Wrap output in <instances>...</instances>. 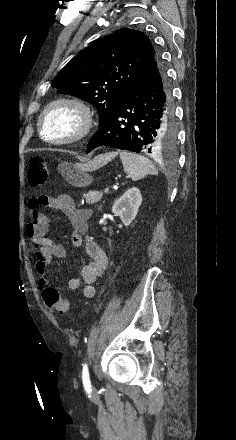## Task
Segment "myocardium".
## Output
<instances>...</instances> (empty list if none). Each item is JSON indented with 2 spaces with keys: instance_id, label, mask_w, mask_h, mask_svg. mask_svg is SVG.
<instances>
[{
  "instance_id": "obj_1",
  "label": "myocardium",
  "mask_w": 236,
  "mask_h": 440,
  "mask_svg": "<svg viewBox=\"0 0 236 440\" xmlns=\"http://www.w3.org/2000/svg\"><path fill=\"white\" fill-rule=\"evenodd\" d=\"M57 107L70 109L78 118L79 125L77 131L68 137L50 138L45 134V119L47 115ZM95 123V117L90 105L83 99L74 96H60L51 100L44 107L38 118V127L42 138L55 145H71L87 138Z\"/></svg>"
}]
</instances>
